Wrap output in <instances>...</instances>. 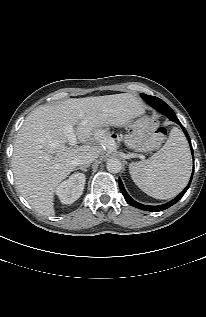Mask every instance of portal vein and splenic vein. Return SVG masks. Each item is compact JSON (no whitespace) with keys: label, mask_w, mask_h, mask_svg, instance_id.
<instances>
[{"label":"portal vein and splenic vein","mask_w":206,"mask_h":317,"mask_svg":"<svg viewBox=\"0 0 206 317\" xmlns=\"http://www.w3.org/2000/svg\"><path fill=\"white\" fill-rule=\"evenodd\" d=\"M63 133L67 137L68 143L71 146H74L77 143L76 135L72 125H67L63 128Z\"/></svg>","instance_id":"portal-vein-and-splenic-vein-1"}]
</instances>
